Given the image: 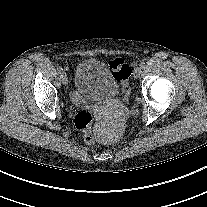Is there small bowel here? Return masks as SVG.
<instances>
[{"label": "small bowel", "mask_w": 207, "mask_h": 207, "mask_svg": "<svg viewBox=\"0 0 207 207\" xmlns=\"http://www.w3.org/2000/svg\"><path fill=\"white\" fill-rule=\"evenodd\" d=\"M76 103H77V104H81V101L78 100V99H76Z\"/></svg>", "instance_id": "obj_1"}]
</instances>
